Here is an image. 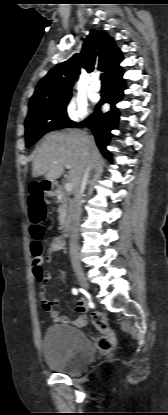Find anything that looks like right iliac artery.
Masks as SVG:
<instances>
[{
  "label": "right iliac artery",
  "mask_w": 168,
  "mask_h": 415,
  "mask_svg": "<svg viewBox=\"0 0 168 415\" xmlns=\"http://www.w3.org/2000/svg\"><path fill=\"white\" fill-rule=\"evenodd\" d=\"M72 293H73L74 295H77V294H78V289H77V288H73V289H72Z\"/></svg>",
  "instance_id": "1"
}]
</instances>
